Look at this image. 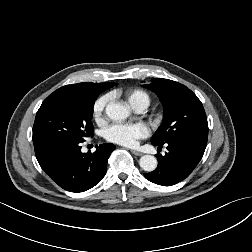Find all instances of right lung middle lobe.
Here are the masks:
<instances>
[{
    "label": "right lung middle lobe",
    "mask_w": 252,
    "mask_h": 252,
    "mask_svg": "<svg viewBox=\"0 0 252 252\" xmlns=\"http://www.w3.org/2000/svg\"><path fill=\"white\" fill-rule=\"evenodd\" d=\"M96 97L71 92L55 91L39 108L34 126L33 142L71 141L83 142L93 136L91 119Z\"/></svg>",
    "instance_id": "dd1d6c3e"
}]
</instances>
